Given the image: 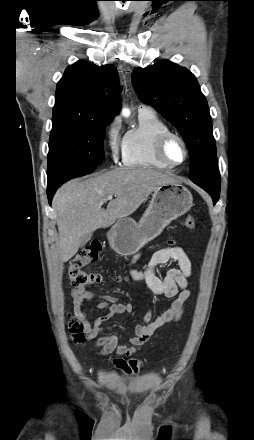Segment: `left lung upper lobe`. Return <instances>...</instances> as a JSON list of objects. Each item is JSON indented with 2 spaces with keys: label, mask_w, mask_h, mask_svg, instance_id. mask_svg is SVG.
I'll return each mask as SVG.
<instances>
[{
  "label": "left lung upper lobe",
  "mask_w": 254,
  "mask_h": 440,
  "mask_svg": "<svg viewBox=\"0 0 254 440\" xmlns=\"http://www.w3.org/2000/svg\"><path fill=\"white\" fill-rule=\"evenodd\" d=\"M132 83L140 99L153 105L180 132L190 157L189 179L215 200L220 195L212 120L207 101L195 76L167 60L132 72Z\"/></svg>",
  "instance_id": "left-lung-upper-lobe-1"
}]
</instances>
